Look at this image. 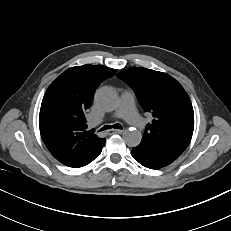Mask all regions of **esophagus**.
I'll return each mask as SVG.
<instances>
[{"mask_svg":"<svg viewBox=\"0 0 231 231\" xmlns=\"http://www.w3.org/2000/svg\"><path fill=\"white\" fill-rule=\"evenodd\" d=\"M111 133H116V134H121L123 132V130L120 129H112L110 130Z\"/></svg>","mask_w":231,"mask_h":231,"instance_id":"esophagus-1","label":"esophagus"}]
</instances>
